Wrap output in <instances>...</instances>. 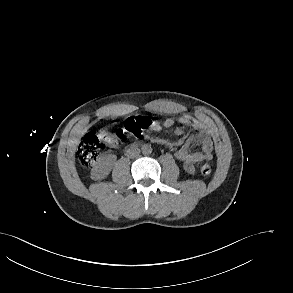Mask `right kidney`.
I'll return each instance as SVG.
<instances>
[{
	"mask_svg": "<svg viewBox=\"0 0 293 293\" xmlns=\"http://www.w3.org/2000/svg\"><path fill=\"white\" fill-rule=\"evenodd\" d=\"M110 172V166L106 161H103L101 164L97 165L92 171V177L94 179H101L108 175Z\"/></svg>",
	"mask_w": 293,
	"mask_h": 293,
	"instance_id": "obj_1",
	"label": "right kidney"
}]
</instances>
